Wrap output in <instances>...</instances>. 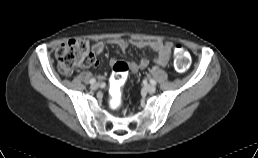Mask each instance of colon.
<instances>
[{"label":"colon","mask_w":258,"mask_h":158,"mask_svg":"<svg viewBox=\"0 0 258 158\" xmlns=\"http://www.w3.org/2000/svg\"><path fill=\"white\" fill-rule=\"evenodd\" d=\"M56 60L60 72L71 74L78 66L90 67L96 63L95 54L90 50L87 41L71 39L56 49ZM191 62L189 51L182 45L174 46V68L178 72L186 71ZM130 67L127 62L117 61L113 65L111 79V107L118 110L122 105V89L126 83Z\"/></svg>","instance_id":"1"}]
</instances>
